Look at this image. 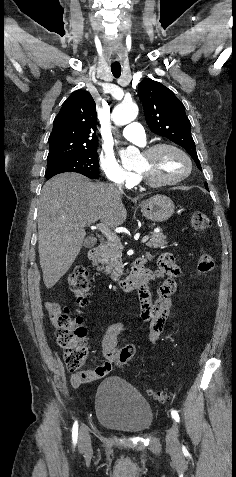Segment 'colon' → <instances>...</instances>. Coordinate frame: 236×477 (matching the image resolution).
Masks as SVG:
<instances>
[{
  "label": "colon",
  "instance_id": "5ec220e1",
  "mask_svg": "<svg viewBox=\"0 0 236 477\" xmlns=\"http://www.w3.org/2000/svg\"><path fill=\"white\" fill-rule=\"evenodd\" d=\"M190 226L195 232H204L211 227V220L205 213L193 212L190 217ZM214 266V259L210 254L202 253L199 256L197 271L201 276L209 275ZM68 284L74 294L75 303L81 307L85 306L92 291V280L88 270L84 266H75L69 274ZM56 327L57 342L64 350V362L67 369L80 370L85 363L87 347L86 332L80 327L79 317L71 315L68 311L62 312L56 319ZM133 357L128 350L124 349L120 352L116 363L124 365ZM148 394L159 402L167 401L170 396L166 391L153 389H149Z\"/></svg>",
  "mask_w": 236,
  "mask_h": 477
}]
</instances>
